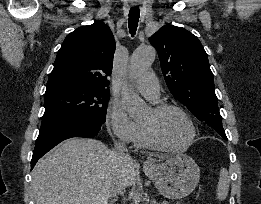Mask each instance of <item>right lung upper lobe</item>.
I'll return each mask as SVG.
<instances>
[{
	"mask_svg": "<svg viewBox=\"0 0 261 204\" xmlns=\"http://www.w3.org/2000/svg\"><path fill=\"white\" fill-rule=\"evenodd\" d=\"M115 40L102 21L82 26L64 40L45 94L79 89L109 90Z\"/></svg>",
	"mask_w": 261,
	"mask_h": 204,
	"instance_id": "right-lung-upper-lobe-1",
	"label": "right lung upper lobe"
}]
</instances>
